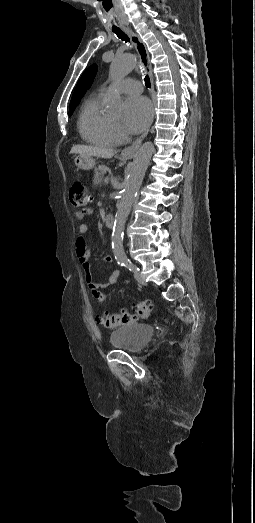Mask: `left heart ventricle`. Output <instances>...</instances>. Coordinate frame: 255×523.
Returning a JSON list of instances; mask_svg holds the SVG:
<instances>
[{"instance_id":"b2bd125f","label":"left heart ventricle","mask_w":255,"mask_h":523,"mask_svg":"<svg viewBox=\"0 0 255 523\" xmlns=\"http://www.w3.org/2000/svg\"><path fill=\"white\" fill-rule=\"evenodd\" d=\"M118 118H119V117H115L114 119H116V120H117Z\"/></svg>"}]
</instances>
